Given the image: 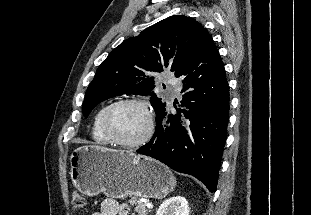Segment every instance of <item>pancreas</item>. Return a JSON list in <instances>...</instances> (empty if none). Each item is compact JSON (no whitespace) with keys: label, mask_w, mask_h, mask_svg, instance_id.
Here are the masks:
<instances>
[{"label":"pancreas","mask_w":311,"mask_h":215,"mask_svg":"<svg viewBox=\"0 0 311 215\" xmlns=\"http://www.w3.org/2000/svg\"><path fill=\"white\" fill-rule=\"evenodd\" d=\"M130 205L135 206V211L138 215H147V212L149 211L146 207L145 202H141L137 197L132 196L129 200Z\"/></svg>","instance_id":"1"}]
</instances>
